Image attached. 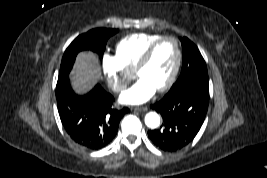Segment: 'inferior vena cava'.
I'll return each instance as SVG.
<instances>
[{"mask_svg":"<svg viewBox=\"0 0 267 178\" xmlns=\"http://www.w3.org/2000/svg\"><path fill=\"white\" fill-rule=\"evenodd\" d=\"M124 88H125V86H120V87H117V90H122Z\"/></svg>","mask_w":267,"mask_h":178,"instance_id":"602c4592","label":"inferior vena cava"}]
</instances>
